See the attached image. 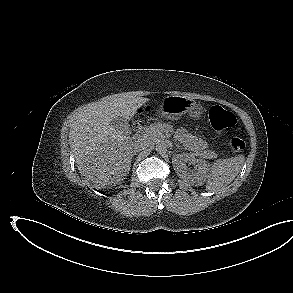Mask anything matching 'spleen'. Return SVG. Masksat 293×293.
<instances>
[{"instance_id":"3e777b00","label":"spleen","mask_w":293,"mask_h":293,"mask_svg":"<svg viewBox=\"0 0 293 293\" xmlns=\"http://www.w3.org/2000/svg\"><path fill=\"white\" fill-rule=\"evenodd\" d=\"M244 163V156L238 155L232 158L219 159L214 162L205 175L207 179L206 189L218 191L229 185L240 172Z\"/></svg>"}]
</instances>
